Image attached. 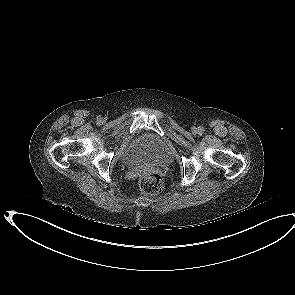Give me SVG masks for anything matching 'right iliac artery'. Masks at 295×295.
<instances>
[{"instance_id": "obj_1", "label": "right iliac artery", "mask_w": 295, "mask_h": 295, "mask_svg": "<svg viewBox=\"0 0 295 295\" xmlns=\"http://www.w3.org/2000/svg\"><path fill=\"white\" fill-rule=\"evenodd\" d=\"M97 121L100 122L101 121V118H97Z\"/></svg>"}]
</instances>
